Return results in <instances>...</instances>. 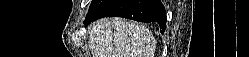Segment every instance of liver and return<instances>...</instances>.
<instances>
[{
  "label": "liver",
  "instance_id": "obj_1",
  "mask_svg": "<svg viewBox=\"0 0 249 57\" xmlns=\"http://www.w3.org/2000/svg\"><path fill=\"white\" fill-rule=\"evenodd\" d=\"M93 57H153L155 39L144 25L119 18H103L89 31Z\"/></svg>",
  "mask_w": 249,
  "mask_h": 57
}]
</instances>
